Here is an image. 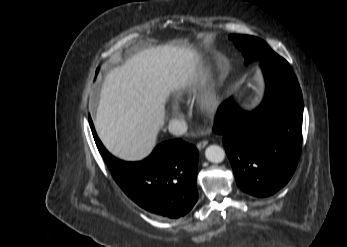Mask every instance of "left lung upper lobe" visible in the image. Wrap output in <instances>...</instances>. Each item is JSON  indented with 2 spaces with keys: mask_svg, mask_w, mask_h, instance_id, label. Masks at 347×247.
Wrapping results in <instances>:
<instances>
[{
  "mask_svg": "<svg viewBox=\"0 0 347 247\" xmlns=\"http://www.w3.org/2000/svg\"><path fill=\"white\" fill-rule=\"evenodd\" d=\"M236 47L242 51L246 62L254 59H274L278 55L261 39L248 35H230Z\"/></svg>",
  "mask_w": 347,
  "mask_h": 247,
  "instance_id": "1",
  "label": "left lung upper lobe"
}]
</instances>
